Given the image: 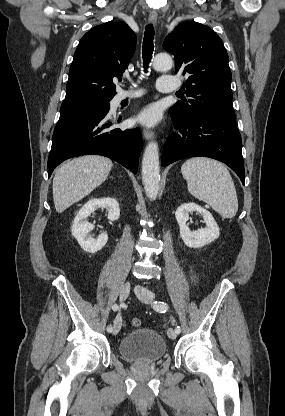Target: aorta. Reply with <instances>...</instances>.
<instances>
[{
  "label": "aorta",
  "mask_w": 285,
  "mask_h": 416,
  "mask_svg": "<svg viewBox=\"0 0 285 416\" xmlns=\"http://www.w3.org/2000/svg\"><path fill=\"white\" fill-rule=\"evenodd\" d=\"M172 65V58L166 53L156 55L153 60V68L157 71H167ZM159 181V147L156 142H150L145 148L142 159V183L148 198L154 200L157 197Z\"/></svg>",
  "instance_id": "1"
}]
</instances>
